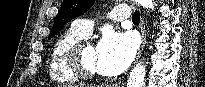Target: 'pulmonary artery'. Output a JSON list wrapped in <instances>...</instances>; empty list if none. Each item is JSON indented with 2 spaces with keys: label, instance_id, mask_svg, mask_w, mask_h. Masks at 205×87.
I'll list each match as a JSON object with an SVG mask.
<instances>
[{
  "label": "pulmonary artery",
  "instance_id": "1",
  "mask_svg": "<svg viewBox=\"0 0 205 87\" xmlns=\"http://www.w3.org/2000/svg\"><path fill=\"white\" fill-rule=\"evenodd\" d=\"M131 16V11L128 5H120L117 6L106 14V18L109 21H121L124 19H127ZM92 21L91 20H84V19H78L75 20L72 24V28L78 32L83 37H87L90 35L92 31Z\"/></svg>",
  "mask_w": 205,
  "mask_h": 87
}]
</instances>
